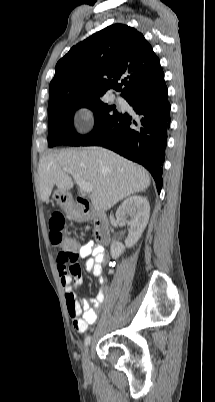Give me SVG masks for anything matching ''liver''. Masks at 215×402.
<instances>
[{"label": "liver", "instance_id": "liver-1", "mask_svg": "<svg viewBox=\"0 0 215 402\" xmlns=\"http://www.w3.org/2000/svg\"><path fill=\"white\" fill-rule=\"evenodd\" d=\"M63 168L70 169L93 186L90 199L94 208L101 213L150 185L149 174L144 168L108 149H69L41 158L38 171L42 201L49 199L54 186L61 191L73 188L72 178Z\"/></svg>", "mask_w": 215, "mask_h": 402}]
</instances>
